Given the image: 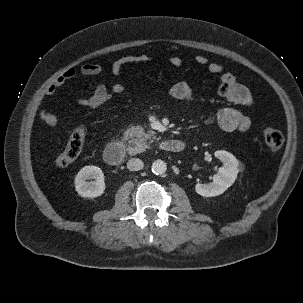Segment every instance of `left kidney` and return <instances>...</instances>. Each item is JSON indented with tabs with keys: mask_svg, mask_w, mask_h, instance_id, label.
Returning <instances> with one entry per match:
<instances>
[{
	"mask_svg": "<svg viewBox=\"0 0 303 303\" xmlns=\"http://www.w3.org/2000/svg\"><path fill=\"white\" fill-rule=\"evenodd\" d=\"M214 155L223 163V166L218 169L217 175L213 177V182L196 184V192L203 197H214L224 193L235 182L239 172V161L233 154L218 150Z\"/></svg>",
	"mask_w": 303,
	"mask_h": 303,
	"instance_id": "obj_1",
	"label": "left kidney"
}]
</instances>
